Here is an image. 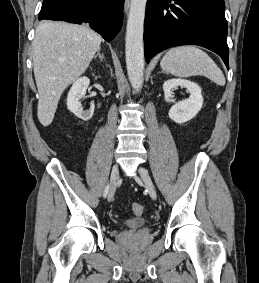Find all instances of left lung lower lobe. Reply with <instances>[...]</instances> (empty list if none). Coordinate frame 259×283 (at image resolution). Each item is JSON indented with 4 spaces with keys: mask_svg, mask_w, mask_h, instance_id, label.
Here are the masks:
<instances>
[{
    "mask_svg": "<svg viewBox=\"0 0 259 283\" xmlns=\"http://www.w3.org/2000/svg\"><path fill=\"white\" fill-rule=\"evenodd\" d=\"M148 0L144 22L145 59L180 45H199L228 64L224 0Z\"/></svg>",
    "mask_w": 259,
    "mask_h": 283,
    "instance_id": "0a47b994",
    "label": "left lung lower lobe"
}]
</instances>
